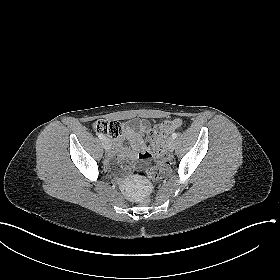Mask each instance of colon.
I'll return each instance as SVG.
<instances>
[{"instance_id": "colon-1", "label": "colon", "mask_w": 280, "mask_h": 280, "mask_svg": "<svg viewBox=\"0 0 280 280\" xmlns=\"http://www.w3.org/2000/svg\"><path fill=\"white\" fill-rule=\"evenodd\" d=\"M180 126L178 119L166 120L155 126L148 132V140L151 143V149L154 154L155 163L147 170V174L156 180L162 179L169 165V159L165 148V138L173 130ZM94 130L100 134L117 137L122 132V127L117 121L98 120L94 124ZM144 173H139L143 176ZM151 203V198L144 195L140 200V205L148 206Z\"/></svg>"}]
</instances>
